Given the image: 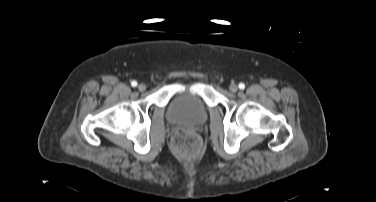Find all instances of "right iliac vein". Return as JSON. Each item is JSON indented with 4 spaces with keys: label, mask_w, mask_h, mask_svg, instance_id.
Listing matches in <instances>:
<instances>
[{
    "label": "right iliac vein",
    "mask_w": 376,
    "mask_h": 202,
    "mask_svg": "<svg viewBox=\"0 0 376 202\" xmlns=\"http://www.w3.org/2000/svg\"><path fill=\"white\" fill-rule=\"evenodd\" d=\"M145 89H146V85L145 84L141 83V84L138 85V90L139 91L143 92V91H145Z\"/></svg>",
    "instance_id": "right-iliac-vein-1"
}]
</instances>
